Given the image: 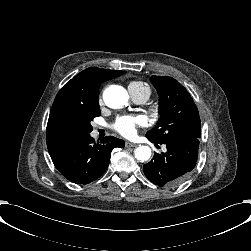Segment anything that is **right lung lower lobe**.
Here are the masks:
<instances>
[{"label": "right lung lower lobe", "mask_w": 251, "mask_h": 251, "mask_svg": "<svg viewBox=\"0 0 251 251\" xmlns=\"http://www.w3.org/2000/svg\"><path fill=\"white\" fill-rule=\"evenodd\" d=\"M88 135L68 149L51 156L55 167L69 181L78 184L90 183L105 173L110 162V154L115 147H124L123 140L107 136L103 144L94 143Z\"/></svg>", "instance_id": "1"}]
</instances>
